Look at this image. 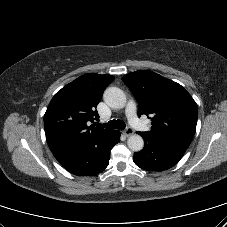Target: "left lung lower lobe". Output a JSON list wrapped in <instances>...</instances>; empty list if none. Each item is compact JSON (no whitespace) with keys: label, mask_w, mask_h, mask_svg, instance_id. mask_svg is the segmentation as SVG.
I'll list each match as a JSON object with an SVG mask.
<instances>
[{"label":"left lung lower lobe","mask_w":227,"mask_h":227,"mask_svg":"<svg viewBox=\"0 0 227 227\" xmlns=\"http://www.w3.org/2000/svg\"><path fill=\"white\" fill-rule=\"evenodd\" d=\"M141 136L145 145L143 150L134 153L133 160L138 167L148 171H163L173 167L187 149L176 143Z\"/></svg>","instance_id":"0a47b994"}]
</instances>
